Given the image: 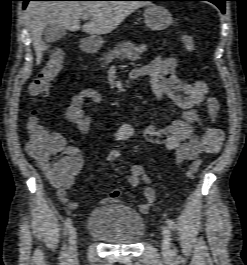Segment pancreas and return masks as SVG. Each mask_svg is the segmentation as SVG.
<instances>
[{"mask_svg": "<svg viewBox=\"0 0 247 265\" xmlns=\"http://www.w3.org/2000/svg\"><path fill=\"white\" fill-rule=\"evenodd\" d=\"M147 51V48L136 47L129 41L122 42L116 45L108 53H105L100 59L102 61V67H107L114 59H128L130 61H138L141 59V55Z\"/></svg>", "mask_w": 247, "mask_h": 265, "instance_id": "cf45deb5", "label": "pancreas"}]
</instances>
